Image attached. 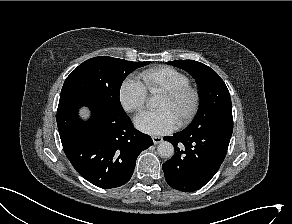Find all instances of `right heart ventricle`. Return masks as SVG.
Here are the masks:
<instances>
[{"mask_svg":"<svg viewBox=\"0 0 292 224\" xmlns=\"http://www.w3.org/2000/svg\"><path fill=\"white\" fill-rule=\"evenodd\" d=\"M142 84L151 93L189 84V78L170 66H157L140 74Z\"/></svg>","mask_w":292,"mask_h":224,"instance_id":"e07e8e85","label":"right heart ventricle"}]
</instances>
